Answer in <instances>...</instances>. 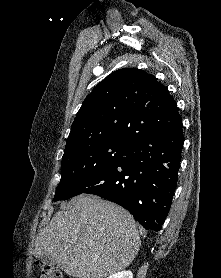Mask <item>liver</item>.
<instances>
[{
    "instance_id": "obj_1",
    "label": "liver",
    "mask_w": 221,
    "mask_h": 278,
    "mask_svg": "<svg viewBox=\"0 0 221 278\" xmlns=\"http://www.w3.org/2000/svg\"><path fill=\"white\" fill-rule=\"evenodd\" d=\"M140 244L128 211L97 196L80 195L39 231L34 254H51L70 276L105 278L128 267Z\"/></svg>"
}]
</instances>
